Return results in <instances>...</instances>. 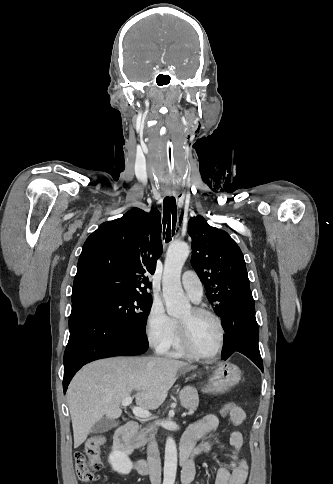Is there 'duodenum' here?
Wrapping results in <instances>:
<instances>
[{
  "instance_id": "410a0bca",
  "label": "duodenum",
  "mask_w": 333,
  "mask_h": 484,
  "mask_svg": "<svg viewBox=\"0 0 333 484\" xmlns=\"http://www.w3.org/2000/svg\"><path fill=\"white\" fill-rule=\"evenodd\" d=\"M138 430V424L134 421H128L126 424L117 429L114 435V448L117 452L130 455L137 447L135 434ZM194 455V445L184 440L181 441L179 448V460L183 469L191 462ZM135 469L140 474H148L150 468L144 460L136 463Z\"/></svg>"
}]
</instances>
